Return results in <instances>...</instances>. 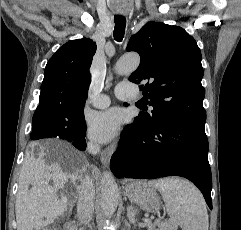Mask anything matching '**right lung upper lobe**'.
Listing matches in <instances>:
<instances>
[{
	"label": "right lung upper lobe",
	"instance_id": "cb5924a9",
	"mask_svg": "<svg viewBox=\"0 0 241 230\" xmlns=\"http://www.w3.org/2000/svg\"><path fill=\"white\" fill-rule=\"evenodd\" d=\"M95 52L96 43L83 38L65 43L54 53L45 67L36 114L85 105Z\"/></svg>",
	"mask_w": 241,
	"mask_h": 230
}]
</instances>
